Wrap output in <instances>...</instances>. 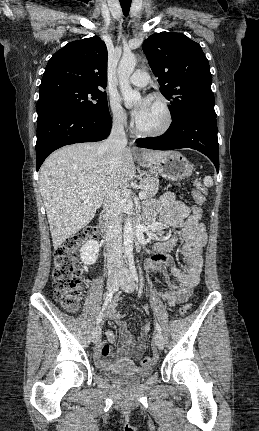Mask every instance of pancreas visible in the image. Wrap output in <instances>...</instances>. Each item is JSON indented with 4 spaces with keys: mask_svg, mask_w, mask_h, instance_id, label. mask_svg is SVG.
Segmentation results:
<instances>
[{
    "mask_svg": "<svg viewBox=\"0 0 259 431\" xmlns=\"http://www.w3.org/2000/svg\"><path fill=\"white\" fill-rule=\"evenodd\" d=\"M140 185L146 193L145 198H152L158 192L159 179L157 177H146L140 180Z\"/></svg>",
    "mask_w": 259,
    "mask_h": 431,
    "instance_id": "1",
    "label": "pancreas"
}]
</instances>
